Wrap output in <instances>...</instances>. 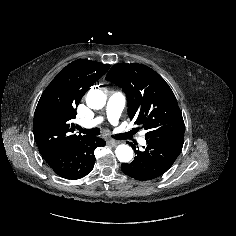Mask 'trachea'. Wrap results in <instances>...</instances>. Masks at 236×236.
I'll use <instances>...</instances> for the list:
<instances>
[{
    "label": "trachea",
    "instance_id": "3493384b",
    "mask_svg": "<svg viewBox=\"0 0 236 236\" xmlns=\"http://www.w3.org/2000/svg\"><path fill=\"white\" fill-rule=\"evenodd\" d=\"M78 130L81 133H84V134H87V135H94V136L100 135V132H101L100 129L97 128V127L96 128H92V129H83L81 127H78ZM134 133H136V130H132V131L127 132V133L118 134L115 137L118 140L126 139V138L131 137Z\"/></svg>",
    "mask_w": 236,
    "mask_h": 236
}]
</instances>
